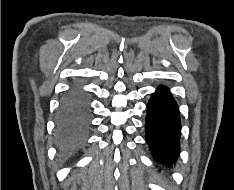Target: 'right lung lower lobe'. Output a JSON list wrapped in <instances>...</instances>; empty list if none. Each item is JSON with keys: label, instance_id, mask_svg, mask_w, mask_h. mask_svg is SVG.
Returning a JSON list of instances; mask_svg holds the SVG:
<instances>
[{"label": "right lung lower lobe", "instance_id": "obj_1", "mask_svg": "<svg viewBox=\"0 0 234 190\" xmlns=\"http://www.w3.org/2000/svg\"><path fill=\"white\" fill-rule=\"evenodd\" d=\"M89 122L86 100L77 92L67 96L61 106L57 125L60 147L64 150L80 147L88 134Z\"/></svg>", "mask_w": 234, "mask_h": 190}]
</instances>
